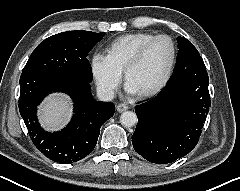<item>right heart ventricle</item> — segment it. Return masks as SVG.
<instances>
[{
	"label": "right heart ventricle",
	"instance_id": "e07e8e85",
	"mask_svg": "<svg viewBox=\"0 0 240 191\" xmlns=\"http://www.w3.org/2000/svg\"><path fill=\"white\" fill-rule=\"evenodd\" d=\"M153 36L155 35L147 32L120 36L107 46V56L118 69L123 71L139 48Z\"/></svg>",
	"mask_w": 240,
	"mask_h": 191
}]
</instances>
